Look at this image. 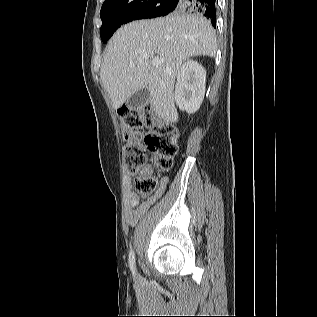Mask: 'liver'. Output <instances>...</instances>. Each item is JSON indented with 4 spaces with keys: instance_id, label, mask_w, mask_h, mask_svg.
Listing matches in <instances>:
<instances>
[{
    "instance_id": "6515ba94",
    "label": "liver",
    "mask_w": 317,
    "mask_h": 317,
    "mask_svg": "<svg viewBox=\"0 0 317 317\" xmlns=\"http://www.w3.org/2000/svg\"><path fill=\"white\" fill-rule=\"evenodd\" d=\"M216 52L215 31L198 14L134 21L118 29L110 39L100 78L114 109L147 87L155 114L176 123L173 90L182 63L193 56L214 57ZM154 58L161 63L153 66Z\"/></svg>"
}]
</instances>
